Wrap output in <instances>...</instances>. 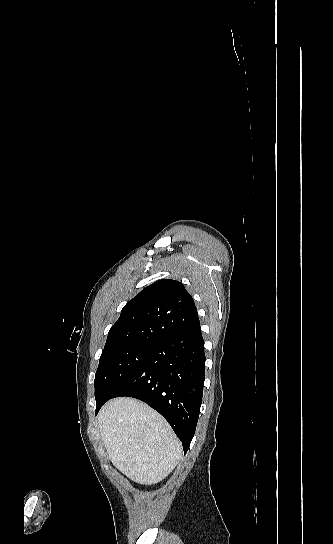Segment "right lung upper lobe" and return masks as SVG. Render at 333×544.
<instances>
[{"label":"right lung upper lobe","instance_id":"1","mask_svg":"<svg viewBox=\"0 0 333 544\" xmlns=\"http://www.w3.org/2000/svg\"><path fill=\"white\" fill-rule=\"evenodd\" d=\"M197 309L182 283L162 279L145 287L122 309L103 351L153 344L199 324Z\"/></svg>","mask_w":333,"mask_h":544}]
</instances>
